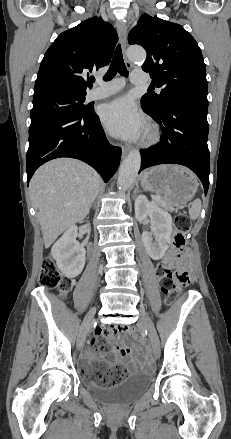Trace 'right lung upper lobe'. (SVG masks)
Masks as SVG:
<instances>
[{"mask_svg": "<svg viewBox=\"0 0 231 439\" xmlns=\"http://www.w3.org/2000/svg\"><path fill=\"white\" fill-rule=\"evenodd\" d=\"M118 39L113 26L94 17L62 32L46 51L33 98L50 93L86 94L88 72L109 64Z\"/></svg>", "mask_w": 231, "mask_h": 439, "instance_id": "obj_1", "label": "right lung upper lobe"}]
</instances>
